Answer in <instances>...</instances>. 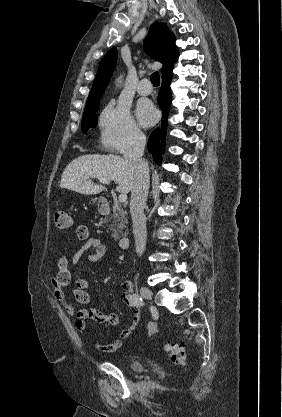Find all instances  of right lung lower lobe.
Listing matches in <instances>:
<instances>
[{"mask_svg":"<svg viewBox=\"0 0 282 417\" xmlns=\"http://www.w3.org/2000/svg\"><path fill=\"white\" fill-rule=\"evenodd\" d=\"M172 80V69L162 75V87L158 95V103L163 112L161 128L154 130L148 140V150L153 156L156 164L160 165L162 162V154L165 152L166 145V131L167 118L171 104V89L170 83Z\"/></svg>","mask_w":282,"mask_h":417,"instance_id":"right-lung-lower-lobe-1","label":"right lung lower lobe"}]
</instances>
